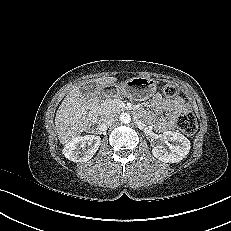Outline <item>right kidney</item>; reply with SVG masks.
Instances as JSON below:
<instances>
[{"label": "right kidney", "mask_w": 231, "mask_h": 231, "mask_svg": "<svg viewBox=\"0 0 231 231\" xmlns=\"http://www.w3.org/2000/svg\"><path fill=\"white\" fill-rule=\"evenodd\" d=\"M100 145L99 136H77L65 145L63 154L73 162H86L93 157Z\"/></svg>", "instance_id": "ca27d5eb"}]
</instances>
